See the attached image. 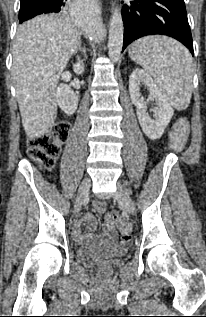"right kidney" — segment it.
<instances>
[{"mask_svg":"<svg viewBox=\"0 0 206 317\" xmlns=\"http://www.w3.org/2000/svg\"><path fill=\"white\" fill-rule=\"evenodd\" d=\"M73 69L76 74H82L84 71L82 61L78 59L77 63L74 64ZM70 78L71 75L69 72L63 73L62 80L64 82L70 81ZM56 99L58 106L66 115L74 114L78 105V96L73 92L69 85L63 83L57 87Z\"/></svg>","mask_w":206,"mask_h":317,"instance_id":"right-kidney-1","label":"right kidney"}]
</instances>
